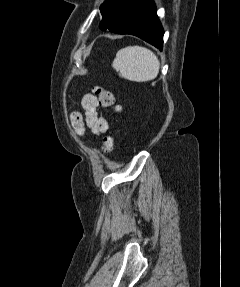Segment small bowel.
Masks as SVG:
<instances>
[{
	"label": "small bowel",
	"mask_w": 240,
	"mask_h": 287,
	"mask_svg": "<svg viewBox=\"0 0 240 287\" xmlns=\"http://www.w3.org/2000/svg\"><path fill=\"white\" fill-rule=\"evenodd\" d=\"M81 106L85 113V124L95 134L101 135L107 132L108 122L98 112L99 100L94 94L88 93L82 97Z\"/></svg>",
	"instance_id": "obj_1"
}]
</instances>
